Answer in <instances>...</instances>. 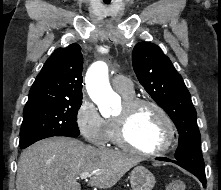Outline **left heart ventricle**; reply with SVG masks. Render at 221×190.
<instances>
[{
    "label": "left heart ventricle",
    "mask_w": 221,
    "mask_h": 190,
    "mask_svg": "<svg viewBox=\"0 0 221 190\" xmlns=\"http://www.w3.org/2000/svg\"><path fill=\"white\" fill-rule=\"evenodd\" d=\"M123 104L116 115L121 114ZM167 130L160 114L150 106L138 107L130 116L128 136L138 148L149 150L160 147L166 138Z\"/></svg>",
    "instance_id": "b2bd125f"
}]
</instances>
